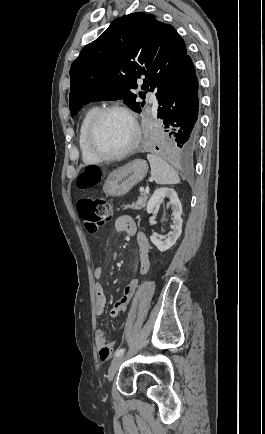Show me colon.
<instances>
[{
	"mask_svg": "<svg viewBox=\"0 0 265 434\" xmlns=\"http://www.w3.org/2000/svg\"><path fill=\"white\" fill-rule=\"evenodd\" d=\"M79 189H94L95 179L99 177V167L80 168ZM75 209L83 221L84 227L90 236H96L104 225L112 218L111 203L104 198H84L75 203ZM112 343L102 344L96 353L100 354L99 361L106 364L109 361L107 355H114Z\"/></svg>",
	"mask_w": 265,
	"mask_h": 434,
	"instance_id": "1",
	"label": "colon"
}]
</instances>
